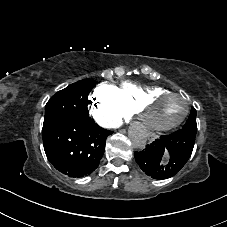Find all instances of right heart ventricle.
Masks as SVG:
<instances>
[{"mask_svg":"<svg viewBox=\"0 0 227 227\" xmlns=\"http://www.w3.org/2000/svg\"><path fill=\"white\" fill-rule=\"evenodd\" d=\"M168 91L162 86H144L132 82H123L119 87L121 100L128 109L129 113L136 111L139 104L148 95Z\"/></svg>","mask_w":227,"mask_h":227,"instance_id":"obj_1","label":"right heart ventricle"}]
</instances>
